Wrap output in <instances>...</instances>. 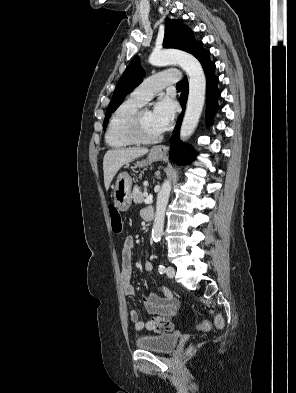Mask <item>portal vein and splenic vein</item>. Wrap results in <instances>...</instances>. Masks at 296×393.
<instances>
[{"instance_id":"1","label":"portal vein and splenic vein","mask_w":296,"mask_h":393,"mask_svg":"<svg viewBox=\"0 0 296 393\" xmlns=\"http://www.w3.org/2000/svg\"><path fill=\"white\" fill-rule=\"evenodd\" d=\"M150 200H152V195L147 196L145 202H149Z\"/></svg>"}]
</instances>
